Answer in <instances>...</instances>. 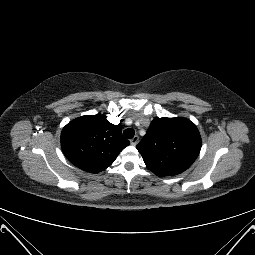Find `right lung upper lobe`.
Masks as SVG:
<instances>
[{
    "mask_svg": "<svg viewBox=\"0 0 255 255\" xmlns=\"http://www.w3.org/2000/svg\"><path fill=\"white\" fill-rule=\"evenodd\" d=\"M122 127L104 115H86L69 122L61 133L65 156L78 168L98 173L110 166L130 143L123 139Z\"/></svg>",
    "mask_w": 255,
    "mask_h": 255,
    "instance_id": "1",
    "label": "right lung upper lobe"
}]
</instances>
